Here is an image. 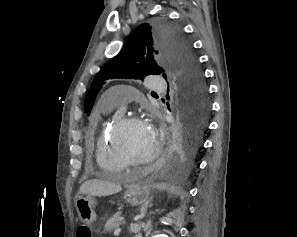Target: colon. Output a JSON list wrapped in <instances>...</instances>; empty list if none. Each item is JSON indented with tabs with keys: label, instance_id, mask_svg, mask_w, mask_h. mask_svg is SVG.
I'll use <instances>...</instances> for the list:
<instances>
[{
	"label": "colon",
	"instance_id": "colon-1",
	"mask_svg": "<svg viewBox=\"0 0 297 237\" xmlns=\"http://www.w3.org/2000/svg\"><path fill=\"white\" fill-rule=\"evenodd\" d=\"M76 237H92V235L87 226H80L76 231Z\"/></svg>",
	"mask_w": 297,
	"mask_h": 237
}]
</instances>
